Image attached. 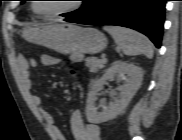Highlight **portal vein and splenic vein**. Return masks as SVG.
<instances>
[{"label":"portal vein and splenic vein","mask_w":182,"mask_h":140,"mask_svg":"<svg viewBox=\"0 0 182 140\" xmlns=\"http://www.w3.org/2000/svg\"><path fill=\"white\" fill-rule=\"evenodd\" d=\"M101 60H102L103 62H106V61H107L106 58H105V56H103Z\"/></svg>","instance_id":"obj_1"}]
</instances>
